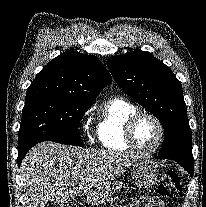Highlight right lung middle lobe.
<instances>
[{
  "label": "right lung middle lobe",
  "instance_id": "right-lung-middle-lobe-1",
  "mask_svg": "<svg viewBox=\"0 0 206 207\" xmlns=\"http://www.w3.org/2000/svg\"><path fill=\"white\" fill-rule=\"evenodd\" d=\"M91 104L57 98L26 101L18 134V152L42 141L84 146L78 125Z\"/></svg>",
  "mask_w": 206,
  "mask_h": 207
}]
</instances>
